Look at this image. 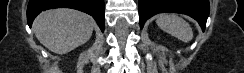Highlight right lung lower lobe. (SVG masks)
Returning a JSON list of instances; mask_svg holds the SVG:
<instances>
[{"label":"right lung lower lobe","instance_id":"98d812e1","mask_svg":"<svg viewBox=\"0 0 244 73\" xmlns=\"http://www.w3.org/2000/svg\"><path fill=\"white\" fill-rule=\"evenodd\" d=\"M61 7L77 9L91 15L104 32V0H30L27 7L29 27L40 12Z\"/></svg>","mask_w":244,"mask_h":73}]
</instances>
